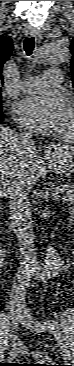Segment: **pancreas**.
Returning a JSON list of instances; mask_svg holds the SVG:
<instances>
[{
	"label": "pancreas",
	"instance_id": "pancreas-1",
	"mask_svg": "<svg viewBox=\"0 0 74 366\" xmlns=\"http://www.w3.org/2000/svg\"><path fill=\"white\" fill-rule=\"evenodd\" d=\"M55 190H60L61 192H64V197L66 201H70L73 199L74 192H73V186L71 184H61Z\"/></svg>",
	"mask_w": 74,
	"mask_h": 366
}]
</instances>
